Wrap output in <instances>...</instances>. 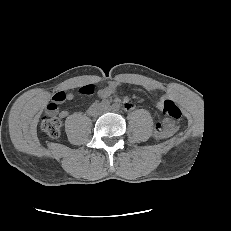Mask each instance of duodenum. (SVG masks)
Returning a JSON list of instances; mask_svg holds the SVG:
<instances>
[{"mask_svg": "<svg viewBox=\"0 0 231 231\" xmlns=\"http://www.w3.org/2000/svg\"><path fill=\"white\" fill-rule=\"evenodd\" d=\"M102 96H103V97H105L106 95H105V94H103Z\"/></svg>", "mask_w": 231, "mask_h": 231, "instance_id": "1", "label": "duodenum"}]
</instances>
